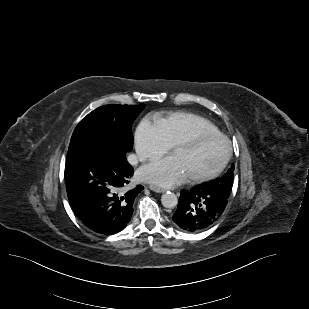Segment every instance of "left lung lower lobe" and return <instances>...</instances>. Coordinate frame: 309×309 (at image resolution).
I'll use <instances>...</instances> for the list:
<instances>
[{"mask_svg":"<svg viewBox=\"0 0 309 309\" xmlns=\"http://www.w3.org/2000/svg\"><path fill=\"white\" fill-rule=\"evenodd\" d=\"M230 191L208 184L182 190L176 212L172 216L182 231L198 233L210 228L223 214Z\"/></svg>","mask_w":309,"mask_h":309,"instance_id":"1","label":"left lung lower lobe"}]
</instances>
